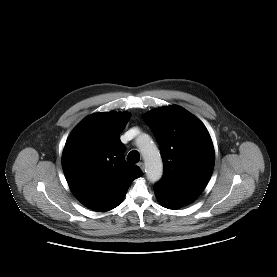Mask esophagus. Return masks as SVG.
Listing matches in <instances>:
<instances>
[{
    "label": "esophagus",
    "mask_w": 277,
    "mask_h": 277,
    "mask_svg": "<svg viewBox=\"0 0 277 277\" xmlns=\"http://www.w3.org/2000/svg\"><path fill=\"white\" fill-rule=\"evenodd\" d=\"M138 166H139L140 169L144 172V170H145V165H144V163H143V162H140V163H138Z\"/></svg>",
    "instance_id": "34e87169"
}]
</instances>
